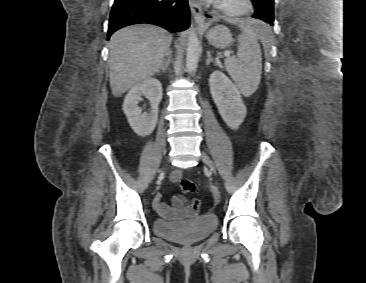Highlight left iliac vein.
Masks as SVG:
<instances>
[{
    "mask_svg": "<svg viewBox=\"0 0 366 283\" xmlns=\"http://www.w3.org/2000/svg\"><path fill=\"white\" fill-rule=\"evenodd\" d=\"M202 160L203 162L211 169V171L215 172V167L213 165L212 160L209 158V156L206 153H202Z\"/></svg>",
    "mask_w": 366,
    "mask_h": 283,
    "instance_id": "1",
    "label": "left iliac vein"
}]
</instances>
